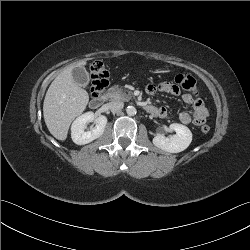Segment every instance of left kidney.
<instances>
[{"mask_svg":"<svg viewBox=\"0 0 250 250\" xmlns=\"http://www.w3.org/2000/svg\"><path fill=\"white\" fill-rule=\"evenodd\" d=\"M169 127L176 134L170 137L157 134L153 138V144L159 149L170 153H179L187 149L192 141V133L189 128L178 123H173Z\"/></svg>","mask_w":250,"mask_h":250,"instance_id":"obj_1","label":"left kidney"}]
</instances>
